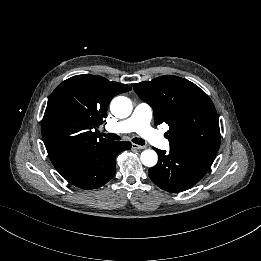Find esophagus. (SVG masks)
Wrapping results in <instances>:
<instances>
[{"instance_id":"esophagus-1","label":"esophagus","mask_w":261,"mask_h":261,"mask_svg":"<svg viewBox=\"0 0 261 261\" xmlns=\"http://www.w3.org/2000/svg\"><path fill=\"white\" fill-rule=\"evenodd\" d=\"M132 148L133 149H145L146 146H139V145L132 144Z\"/></svg>"}]
</instances>
